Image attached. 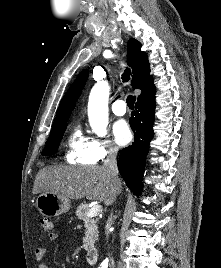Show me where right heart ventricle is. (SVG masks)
<instances>
[{"instance_id":"obj_1","label":"right heart ventricle","mask_w":221,"mask_h":268,"mask_svg":"<svg viewBox=\"0 0 221 268\" xmlns=\"http://www.w3.org/2000/svg\"><path fill=\"white\" fill-rule=\"evenodd\" d=\"M64 158L74 165L91 166L96 163L92 139L83 133L80 125H76L67 138Z\"/></svg>"}]
</instances>
